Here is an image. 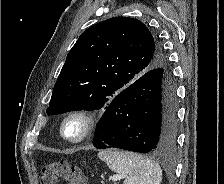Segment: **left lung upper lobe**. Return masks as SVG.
<instances>
[{
	"label": "left lung upper lobe",
	"mask_w": 224,
	"mask_h": 184,
	"mask_svg": "<svg viewBox=\"0 0 224 184\" xmlns=\"http://www.w3.org/2000/svg\"><path fill=\"white\" fill-rule=\"evenodd\" d=\"M162 67H167L162 47L141 21L114 17L99 22L68 53L46 112L106 109L139 77Z\"/></svg>",
	"instance_id": "1"
}]
</instances>
